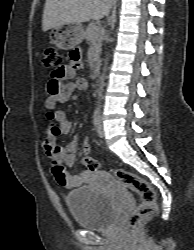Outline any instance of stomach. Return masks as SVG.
Masks as SVG:
<instances>
[{
  "mask_svg": "<svg viewBox=\"0 0 194 250\" xmlns=\"http://www.w3.org/2000/svg\"><path fill=\"white\" fill-rule=\"evenodd\" d=\"M53 43L62 50H70L79 45L84 38V29L80 23L67 24L53 29Z\"/></svg>",
  "mask_w": 194,
  "mask_h": 250,
  "instance_id": "stomach-1",
  "label": "stomach"
}]
</instances>
